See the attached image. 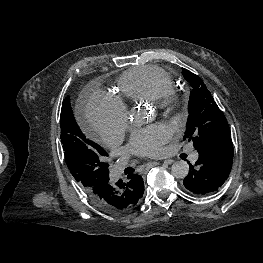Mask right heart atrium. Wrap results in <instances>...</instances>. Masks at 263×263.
<instances>
[{"label":"right heart atrium","instance_id":"right-heart-atrium-1","mask_svg":"<svg viewBox=\"0 0 263 263\" xmlns=\"http://www.w3.org/2000/svg\"><path fill=\"white\" fill-rule=\"evenodd\" d=\"M86 120L100 141L107 145L127 129L128 112L117 98L105 92H95L88 100Z\"/></svg>","mask_w":263,"mask_h":263}]
</instances>
